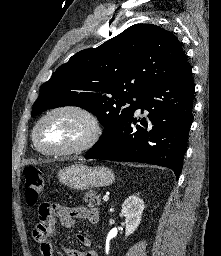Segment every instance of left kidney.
Here are the masks:
<instances>
[{"mask_svg": "<svg viewBox=\"0 0 221 256\" xmlns=\"http://www.w3.org/2000/svg\"><path fill=\"white\" fill-rule=\"evenodd\" d=\"M144 210V202L136 195L129 196L122 204V214L125 216L126 231L125 236L134 233L138 228Z\"/></svg>", "mask_w": 221, "mask_h": 256, "instance_id": "5707ae66", "label": "left kidney"}]
</instances>
